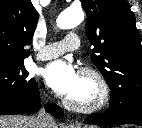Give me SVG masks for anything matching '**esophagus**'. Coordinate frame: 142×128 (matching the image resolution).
I'll return each mask as SVG.
<instances>
[{
	"label": "esophagus",
	"mask_w": 142,
	"mask_h": 128,
	"mask_svg": "<svg viewBox=\"0 0 142 128\" xmlns=\"http://www.w3.org/2000/svg\"><path fill=\"white\" fill-rule=\"evenodd\" d=\"M68 125H69V128H79L78 125L72 121H70Z\"/></svg>",
	"instance_id": "obj_1"
}]
</instances>
